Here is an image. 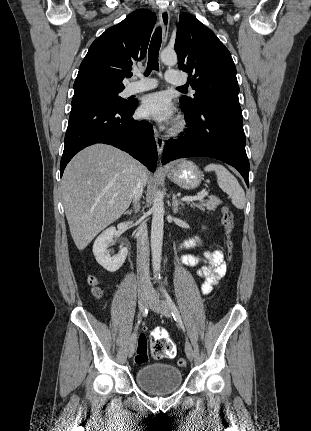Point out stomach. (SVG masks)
Instances as JSON below:
<instances>
[{
  "label": "stomach",
  "mask_w": 311,
  "mask_h": 431,
  "mask_svg": "<svg viewBox=\"0 0 311 431\" xmlns=\"http://www.w3.org/2000/svg\"><path fill=\"white\" fill-rule=\"evenodd\" d=\"M167 178L183 190H195L202 182L203 174L198 166L189 160H180L175 168L170 170Z\"/></svg>",
  "instance_id": "stomach-1"
}]
</instances>
